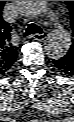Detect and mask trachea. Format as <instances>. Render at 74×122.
Returning a JSON list of instances; mask_svg holds the SVG:
<instances>
[{
  "label": "trachea",
  "instance_id": "obj_1",
  "mask_svg": "<svg viewBox=\"0 0 74 122\" xmlns=\"http://www.w3.org/2000/svg\"><path fill=\"white\" fill-rule=\"evenodd\" d=\"M43 33V30L37 26L36 24H29L25 33H24V36H29V35H33V34H42Z\"/></svg>",
  "mask_w": 74,
  "mask_h": 122
}]
</instances>
